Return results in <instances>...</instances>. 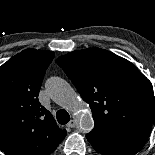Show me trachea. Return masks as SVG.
<instances>
[{
  "instance_id": "trachea-1",
  "label": "trachea",
  "mask_w": 155,
  "mask_h": 155,
  "mask_svg": "<svg viewBox=\"0 0 155 155\" xmlns=\"http://www.w3.org/2000/svg\"><path fill=\"white\" fill-rule=\"evenodd\" d=\"M56 118L60 124L65 125L67 122H69L70 115L68 114L66 110L62 109V110L57 111Z\"/></svg>"
}]
</instances>
